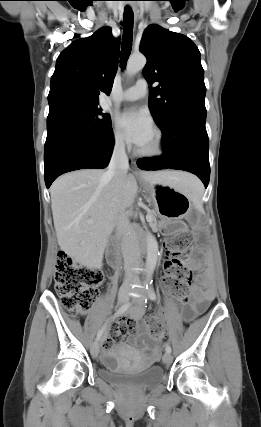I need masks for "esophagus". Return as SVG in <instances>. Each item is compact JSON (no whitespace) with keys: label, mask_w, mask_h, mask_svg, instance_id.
<instances>
[{"label":"esophagus","mask_w":261,"mask_h":427,"mask_svg":"<svg viewBox=\"0 0 261 427\" xmlns=\"http://www.w3.org/2000/svg\"><path fill=\"white\" fill-rule=\"evenodd\" d=\"M133 11L135 12V8L133 7Z\"/></svg>","instance_id":"34e87169"}]
</instances>
